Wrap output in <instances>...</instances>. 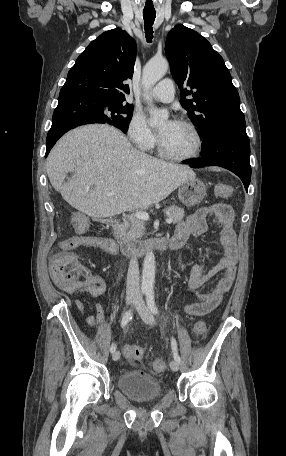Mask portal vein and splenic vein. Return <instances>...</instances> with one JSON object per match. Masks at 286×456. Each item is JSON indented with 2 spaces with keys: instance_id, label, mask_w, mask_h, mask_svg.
<instances>
[{
  "instance_id": "1",
  "label": "portal vein and splenic vein",
  "mask_w": 286,
  "mask_h": 456,
  "mask_svg": "<svg viewBox=\"0 0 286 456\" xmlns=\"http://www.w3.org/2000/svg\"><path fill=\"white\" fill-rule=\"evenodd\" d=\"M135 217L141 220H149V214L145 211H139L135 213ZM173 222L172 218H167L166 223L171 224Z\"/></svg>"
}]
</instances>
